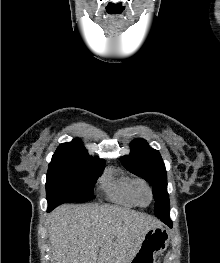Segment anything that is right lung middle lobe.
<instances>
[{"label": "right lung middle lobe", "mask_w": 220, "mask_h": 263, "mask_svg": "<svg viewBox=\"0 0 220 263\" xmlns=\"http://www.w3.org/2000/svg\"><path fill=\"white\" fill-rule=\"evenodd\" d=\"M105 163L85 153H56L49 164L46 193L48 204L86 202L94 198L93 187Z\"/></svg>", "instance_id": "dd1d6c3e"}]
</instances>
